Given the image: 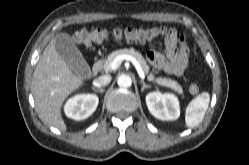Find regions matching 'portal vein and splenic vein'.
I'll use <instances>...</instances> for the list:
<instances>
[{
    "label": "portal vein and splenic vein",
    "instance_id": "1",
    "mask_svg": "<svg viewBox=\"0 0 249 165\" xmlns=\"http://www.w3.org/2000/svg\"><path fill=\"white\" fill-rule=\"evenodd\" d=\"M123 60H129L132 62V64L135 66L139 76L141 79L145 78L144 71L140 65V63L132 56L130 55H119L117 56L112 63L110 64V70H116L122 63Z\"/></svg>",
    "mask_w": 249,
    "mask_h": 165
}]
</instances>
